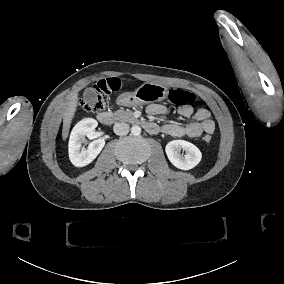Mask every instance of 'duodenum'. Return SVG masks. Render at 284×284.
Returning <instances> with one entry per match:
<instances>
[{
  "mask_svg": "<svg viewBox=\"0 0 284 284\" xmlns=\"http://www.w3.org/2000/svg\"><path fill=\"white\" fill-rule=\"evenodd\" d=\"M96 119L101 125H111L114 122V115L110 112H100Z\"/></svg>",
  "mask_w": 284,
  "mask_h": 284,
  "instance_id": "410a0bca",
  "label": "duodenum"
}]
</instances>
